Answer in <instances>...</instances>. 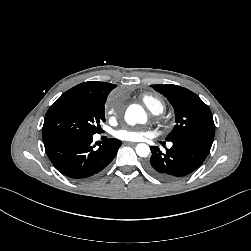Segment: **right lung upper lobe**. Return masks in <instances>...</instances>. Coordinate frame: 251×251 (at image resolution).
<instances>
[{
    "label": "right lung upper lobe",
    "mask_w": 251,
    "mask_h": 251,
    "mask_svg": "<svg viewBox=\"0 0 251 251\" xmlns=\"http://www.w3.org/2000/svg\"><path fill=\"white\" fill-rule=\"evenodd\" d=\"M115 87H116L115 84H110L107 82L88 81L71 88L67 92L87 94L107 99L108 94Z\"/></svg>",
    "instance_id": "cb5924a9"
}]
</instances>
